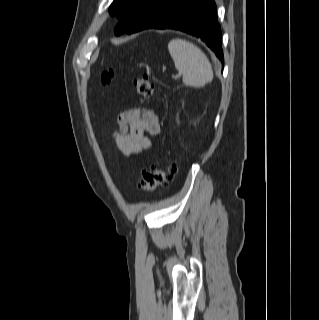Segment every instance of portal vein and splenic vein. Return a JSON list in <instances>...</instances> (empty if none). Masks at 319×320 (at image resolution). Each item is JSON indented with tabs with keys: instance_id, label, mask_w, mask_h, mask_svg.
Returning <instances> with one entry per match:
<instances>
[{
	"instance_id": "1",
	"label": "portal vein and splenic vein",
	"mask_w": 319,
	"mask_h": 320,
	"mask_svg": "<svg viewBox=\"0 0 319 320\" xmlns=\"http://www.w3.org/2000/svg\"><path fill=\"white\" fill-rule=\"evenodd\" d=\"M180 75H181V74L179 73V74L176 75V77H179Z\"/></svg>"
}]
</instances>
